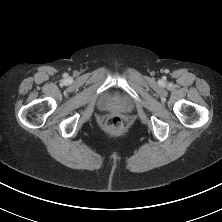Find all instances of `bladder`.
Segmentation results:
<instances>
[{
    "instance_id": "bladder-1",
    "label": "bladder",
    "mask_w": 222,
    "mask_h": 222,
    "mask_svg": "<svg viewBox=\"0 0 222 222\" xmlns=\"http://www.w3.org/2000/svg\"><path fill=\"white\" fill-rule=\"evenodd\" d=\"M100 104L105 110L129 111L132 108V101L123 95L104 94L100 98Z\"/></svg>"
}]
</instances>
